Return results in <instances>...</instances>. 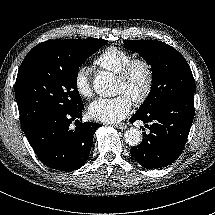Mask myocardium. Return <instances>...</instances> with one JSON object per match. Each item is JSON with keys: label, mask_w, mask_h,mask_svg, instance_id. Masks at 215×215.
<instances>
[{"label": "myocardium", "mask_w": 215, "mask_h": 215, "mask_svg": "<svg viewBox=\"0 0 215 215\" xmlns=\"http://www.w3.org/2000/svg\"><path fill=\"white\" fill-rule=\"evenodd\" d=\"M142 67L145 72V85L142 93L134 97L132 100L137 105L144 104L150 97L154 87V70L149 60L144 57H133L128 60L121 69L116 73V77L120 80L126 81L131 76L136 67Z\"/></svg>", "instance_id": "f54148a6"}]
</instances>
